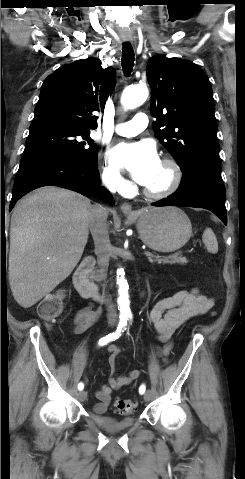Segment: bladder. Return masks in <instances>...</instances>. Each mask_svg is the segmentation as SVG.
<instances>
[{"label":"bladder","mask_w":245,"mask_h":479,"mask_svg":"<svg viewBox=\"0 0 245 479\" xmlns=\"http://www.w3.org/2000/svg\"><path fill=\"white\" fill-rule=\"evenodd\" d=\"M90 418L94 424L110 433L128 429L133 425L135 421L134 417L117 419L110 416L97 414H91Z\"/></svg>","instance_id":"obj_1"}]
</instances>
